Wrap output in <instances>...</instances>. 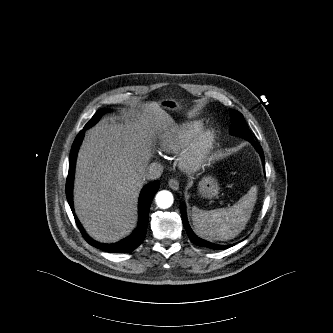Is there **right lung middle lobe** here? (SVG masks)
<instances>
[{
  "label": "right lung middle lobe",
  "instance_id": "dd1d6c3e",
  "mask_svg": "<svg viewBox=\"0 0 333 333\" xmlns=\"http://www.w3.org/2000/svg\"><path fill=\"white\" fill-rule=\"evenodd\" d=\"M108 111H110V110L105 109V108L98 110L95 113V115L92 117V119L85 125L84 129H87V128L93 126L100 119L101 115Z\"/></svg>",
  "mask_w": 333,
  "mask_h": 333
}]
</instances>
